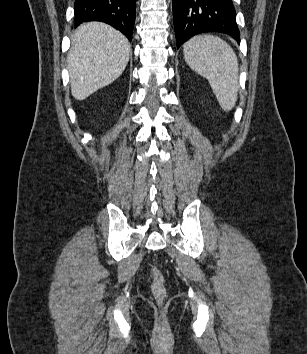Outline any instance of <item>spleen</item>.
I'll return each instance as SVG.
<instances>
[{"instance_id":"spleen-1","label":"spleen","mask_w":307,"mask_h":354,"mask_svg":"<svg viewBox=\"0 0 307 354\" xmlns=\"http://www.w3.org/2000/svg\"><path fill=\"white\" fill-rule=\"evenodd\" d=\"M186 63L205 77L225 111H230L238 97V60L225 41L213 35H197L183 46Z\"/></svg>"}]
</instances>
